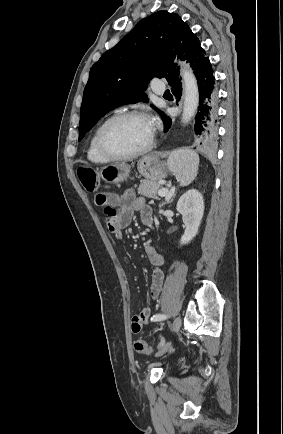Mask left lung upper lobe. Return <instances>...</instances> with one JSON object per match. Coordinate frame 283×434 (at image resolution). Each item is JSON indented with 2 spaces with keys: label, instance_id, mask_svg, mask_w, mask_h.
Wrapping results in <instances>:
<instances>
[{
  "label": "left lung upper lobe",
  "instance_id": "obj_1",
  "mask_svg": "<svg viewBox=\"0 0 283 434\" xmlns=\"http://www.w3.org/2000/svg\"><path fill=\"white\" fill-rule=\"evenodd\" d=\"M175 57L194 70L206 57L197 36L179 15L166 10L142 19L91 68L80 109L79 141L105 114L128 103L148 101L154 77L180 82ZM164 120L167 116L155 108Z\"/></svg>",
  "mask_w": 283,
  "mask_h": 434
}]
</instances>
